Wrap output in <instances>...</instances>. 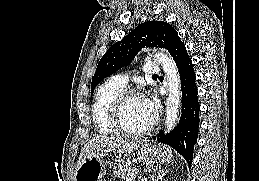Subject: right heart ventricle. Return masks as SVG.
Instances as JSON below:
<instances>
[{"mask_svg": "<svg viewBox=\"0 0 259 181\" xmlns=\"http://www.w3.org/2000/svg\"><path fill=\"white\" fill-rule=\"evenodd\" d=\"M124 88L107 81L96 90L91 108V116L96 129L103 134H118L113 122L112 107L116 97Z\"/></svg>", "mask_w": 259, "mask_h": 181, "instance_id": "e07e8e85", "label": "right heart ventricle"}]
</instances>
